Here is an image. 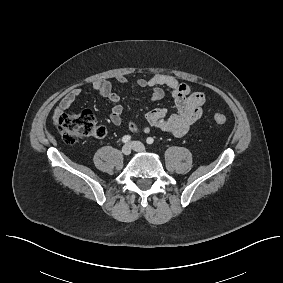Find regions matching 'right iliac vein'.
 <instances>
[{"label": "right iliac vein", "instance_id": "63e3f726", "mask_svg": "<svg viewBox=\"0 0 283 283\" xmlns=\"http://www.w3.org/2000/svg\"><path fill=\"white\" fill-rule=\"evenodd\" d=\"M122 153L124 154V155H130V153H131V151H132V147H131V145H129V144H126V145H124L123 147H122Z\"/></svg>", "mask_w": 283, "mask_h": 283}]
</instances>
